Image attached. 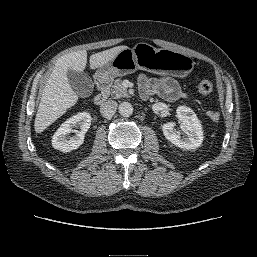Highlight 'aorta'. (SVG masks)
<instances>
[{
	"label": "aorta",
	"mask_w": 257,
	"mask_h": 257,
	"mask_svg": "<svg viewBox=\"0 0 257 257\" xmlns=\"http://www.w3.org/2000/svg\"><path fill=\"white\" fill-rule=\"evenodd\" d=\"M119 113L123 117H129L133 113V106L129 102H122L119 105Z\"/></svg>",
	"instance_id": "aorta-1"
}]
</instances>
